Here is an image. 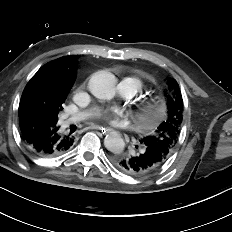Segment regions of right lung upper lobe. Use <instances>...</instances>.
I'll list each match as a JSON object with an SVG mask.
<instances>
[{"label":"right lung upper lobe","mask_w":232,"mask_h":232,"mask_svg":"<svg viewBox=\"0 0 232 232\" xmlns=\"http://www.w3.org/2000/svg\"><path fill=\"white\" fill-rule=\"evenodd\" d=\"M77 56H65L54 61H51L41 67L38 72L27 83L23 96L32 93V90L40 83L47 82L54 86L58 91L66 95L72 88L77 74ZM29 116L35 123L42 125L44 122L37 112V109H33ZM54 128V127H51Z\"/></svg>","instance_id":"obj_1"}]
</instances>
